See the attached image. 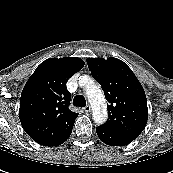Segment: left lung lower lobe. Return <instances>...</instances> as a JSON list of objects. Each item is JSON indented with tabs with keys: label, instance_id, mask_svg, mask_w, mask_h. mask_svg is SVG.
Instances as JSON below:
<instances>
[{
	"label": "left lung lower lobe",
	"instance_id": "0a47b994",
	"mask_svg": "<svg viewBox=\"0 0 173 173\" xmlns=\"http://www.w3.org/2000/svg\"><path fill=\"white\" fill-rule=\"evenodd\" d=\"M99 139L107 145L111 146H125L131 143L134 139L123 137L115 134L101 126L96 128Z\"/></svg>",
	"mask_w": 173,
	"mask_h": 173
}]
</instances>
